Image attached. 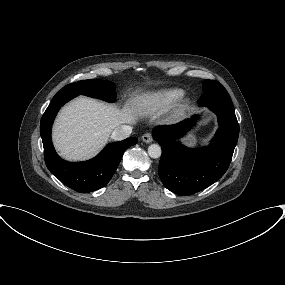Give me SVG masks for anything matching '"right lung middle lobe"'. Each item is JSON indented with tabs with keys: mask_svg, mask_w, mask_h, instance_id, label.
Instances as JSON below:
<instances>
[{
	"mask_svg": "<svg viewBox=\"0 0 285 285\" xmlns=\"http://www.w3.org/2000/svg\"><path fill=\"white\" fill-rule=\"evenodd\" d=\"M60 92L72 93L75 96L82 94L107 102H114L116 100L114 83L105 80H82L66 85Z\"/></svg>",
	"mask_w": 285,
	"mask_h": 285,
	"instance_id": "right-lung-middle-lobe-1",
	"label": "right lung middle lobe"
}]
</instances>
